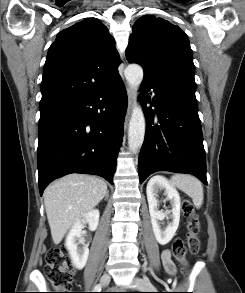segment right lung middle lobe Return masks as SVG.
Returning <instances> with one entry per match:
<instances>
[{
	"instance_id": "dd1d6c3e",
	"label": "right lung middle lobe",
	"mask_w": 245,
	"mask_h": 293,
	"mask_svg": "<svg viewBox=\"0 0 245 293\" xmlns=\"http://www.w3.org/2000/svg\"><path fill=\"white\" fill-rule=\"evenodd\" d=\"M59 107L40 108V119H43L54 113Z\"/></svg>"
}]
</instances>
